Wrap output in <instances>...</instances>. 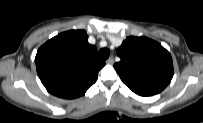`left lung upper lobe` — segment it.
<instances>
[{
  "label": "left lung upper lobe",
  "mask_w": 203,
  "mask_h": 123,
  "mask_svg": "<svg viewBox=\"0 0 203 123\" xmlns=\"http://www.w3.org/2000/svg\"><path fill=\"white\" fill-rule=\"evenodd\" d=\"M121 61L114 65L123 83L140 96L161 92L173 77L170 53L147 37H127L117 49Z\"/></svg>",
  "instance_id": "1"
}]
</instances>
